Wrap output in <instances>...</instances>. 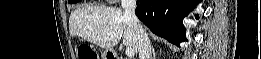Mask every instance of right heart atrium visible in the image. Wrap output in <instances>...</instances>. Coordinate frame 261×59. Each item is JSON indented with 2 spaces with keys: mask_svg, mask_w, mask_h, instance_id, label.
<instances>
[{
  "mask_svg": "<svg viewBox=\"0 0 261 59\" xmlns=\"http://www.w3.org/2000/svg\"><path fill=\"white\" fill-rule=\"evenodd\" d=\"M111 2H116V1H114V0H110Z\"/></svg>",
  "mask_w": 261,
  "mask_h": 59,
  "instance_id": "obj_1",
  "label": "right heart atrium"
}]
</instances>
